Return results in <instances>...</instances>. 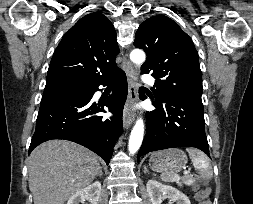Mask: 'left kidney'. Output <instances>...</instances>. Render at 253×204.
Masks as SVG:
<instances>
[{
	"instance_id": "obj_1",
	"label": "left kidney",
	"mask_w": 253,
	"mask_h": 204,
	"mask_svg": "<svg viewBox=\"0 0 253 204\" xmlns=\"http://www.w3.org/2000/svg\"><path fill=\"white\" fill-rule=\"evenodd\" d=\"M146 188L152 204H161L164 198H169L176 204H191L189 198L178 189L155 180H149Z\"/></svg>"
}]
</instances>
